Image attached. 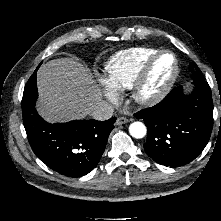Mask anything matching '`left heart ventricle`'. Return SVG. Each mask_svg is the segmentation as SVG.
<instances>
[{"instance_id": "b2bd125f", "label": "left heart ventricle", "mask_w": 221, "mask_h": 221, "mask_svg": "<svg viewBox=\"0 0 221 221\" xmlns=\"http://www.w3.org/2000/svg\"><path fill=\"white\" fill-rule=\"evenodd\" d=\"M174 69V61L170 55L162 56L155 64L147 85L145 92L150 93L158 90L170 78Z\"/></svg>"}]
</instances>
